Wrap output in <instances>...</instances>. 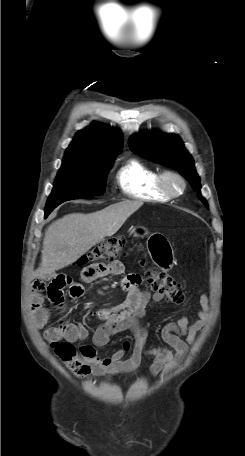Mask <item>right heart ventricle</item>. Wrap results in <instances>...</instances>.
Segmentation results:
<instances>
[{
    "instance_id": "1",
    "label": "right heart ventricle",
    "mask_w": 245,
    "mask_h": 456,
    "mask_svg": "<svg viewBox=\"0 0 245 456\" xmlns=\"http://www.w3.org/2000/svg\"><path fill=\"white\" fill-rule=\"evenodd\" d=\"M159 172L137 159L127 160L118 169L116 181L121 191L130 198L145 201H168L157 185Z\"/></svg>"
}]
</instances>
